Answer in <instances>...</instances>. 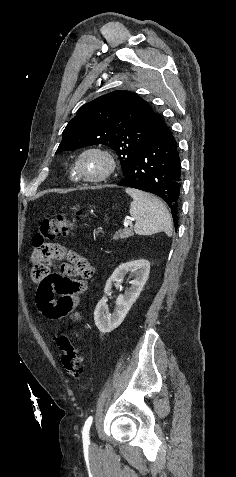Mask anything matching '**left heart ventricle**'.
<instances>
[{
	"instance_id": "b2bd125f",
	"label": "left heart ventricle",
	"mask_w": 236,
	"mask_h": 477,
	"mask_svg": "<svg viewBox=\"0 0 236 477\" xmlns=\"http://www.w3.org/2000/svg\"><path fill=\"white\" fill-rule=\"evenodd\" d=\"M106 169L105 160L96 154L86 155L81 161L82 173L87 176H96Z\"/></svg>"
}]
</instances>
